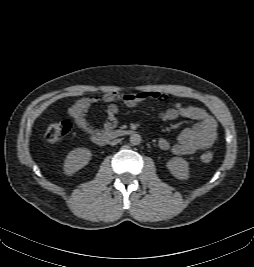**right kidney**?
Instances as JSON below:
<instances>
[{"label":"right kidney","mask_w":254,"mask_h":267,"mask_svg":"<svg viewBox=\"0 0 254 267\" xmlns=\"http://www.w3.org/2000/svg\"><path fill=\"white\" fill-rule=\"evenodd\" d=\"M91 152L86 148H76L68 153L64 163V172L72 175L82 169L91 160Z\"/></svg>","instance_id":"ca27d5eb"}]
</instances>
